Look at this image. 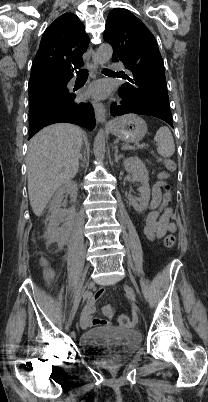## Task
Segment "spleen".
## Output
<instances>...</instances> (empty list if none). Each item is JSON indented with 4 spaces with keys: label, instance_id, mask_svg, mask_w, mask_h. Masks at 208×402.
Wrapping results in <instances>:
<instances>
[{
    "label": "spleen",
    "instance_id": "spleen-1",
    "mask_svg": "<svg viewBox=\"0 0 208 402\" xmlns=\"http://www.w3.org/2000/svg\"><path fill=\"white\" fill-rule=\"evenodd\" d=\"M154 140L157 142V152L160 156H163V158H171L173 156L175 144L169 128H166V126L159 128Z\"/></svg>",
    "mask_w": 208,
    "mask_h": 402
}]
</instances>
